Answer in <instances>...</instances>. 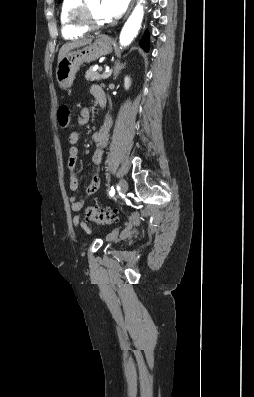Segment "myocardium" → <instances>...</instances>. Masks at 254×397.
<instances>
[{
	"mask_svg": "<svg viewBox=\"0 0 254 397\" xmlns=\"http://www.w3.org/2000/svg\"><path fill=\"white\" fill-rule=\"evenodd\" d=\"M72 19L78 27L87 31L99 30L107 25L105 22H98L93 18L86 0H81L73 10Z\"/></svg>",
	"mask_w": 254,
	"mask_h": 397,
	"instance_id": "1",
	"label": "myocardium"
}]
</instances>
